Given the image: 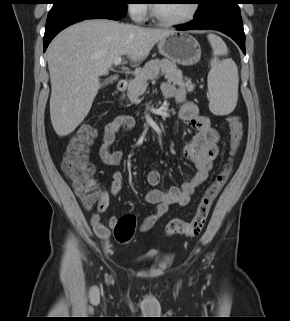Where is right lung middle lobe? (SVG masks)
<instances>
[{
	"mask_svg": "<svg viewBox=\"0 0 290 321\" xmlns=\"http://www.w3.org/2000/svg\"><path fill=\"white\" fill-rule=\"evenodd\" d=\"M54 9L74 8L82 10L127 9L128 0H52Z\"/></svg>",
	"mask_w": 290,
	"mask_h": 321,
	"instance_id": "1",
	"label": "right lung middle lobe"
}]
</instances>
